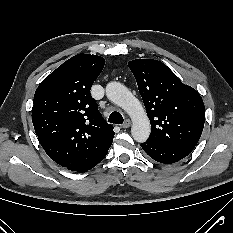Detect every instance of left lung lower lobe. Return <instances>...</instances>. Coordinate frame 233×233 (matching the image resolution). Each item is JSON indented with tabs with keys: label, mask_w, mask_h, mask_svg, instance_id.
Instances as JSON below:
<instances>
[{
	"label": "left lung lower lobe",
	"mask_w": 233,
	"mask_h": 233,
	"mask_svg": "<svg viewBox=\"0 0 233 233\" xmlns=\"http://www.w3.org/2000/svg\"><path fill=\"white\" fill-rule=\"evenodd\" d=\"M141 147L152 159L163 164L177 162L190 153L188 151L163 145L151 140H147L141 144Z\"/></svg>",
	"instance_id": "obj_1"
}]
</instances>
